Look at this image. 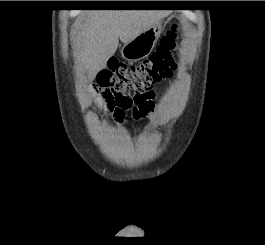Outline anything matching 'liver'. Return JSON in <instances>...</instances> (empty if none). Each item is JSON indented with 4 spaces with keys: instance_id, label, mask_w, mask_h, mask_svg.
<instances>
[{
    "instance_id": "1",
    "label": "liver",
    "mask_w": 265,
    "mask_h": 245,
    "mask_svg": "<svg viewBox=\"0 0 265 245\" xmlns=\"http://www.w3.org/2000/svg\"><path fill=\"white\" fill-rule=\"evenodd\" d=\"M168 14L161 10H87L78 21L81 45L77 56L89 75L104 67L117 48L119 39L130 42Z\"/></svg>"
}]
</instances>
